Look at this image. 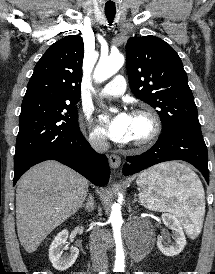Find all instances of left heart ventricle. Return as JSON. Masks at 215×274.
Returning <instances> with one entry per match:
<instances>
[{
	"instance_id": "left-heart-ventricle-1",
	"label": "left heart ventricle",
	"mask_w": 215,
	"mask_h": 274,
	"mask_svg": "<svg viewBox=\"0 0 215 274\" xmlns=\"http://www.w3.org/2000/svg\"><path fill=\"white\" fill-rule=\"evenodd\" d=\"M149 131L148 121L140 116H132V125L130 130V141L144 137Z\"/></svg>"
}]
</instances>
